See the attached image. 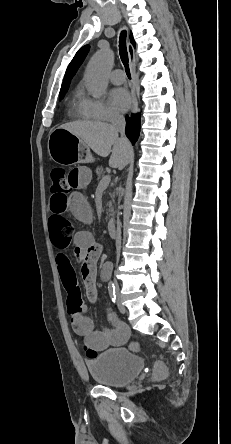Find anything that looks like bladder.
Returning a JSON list of instances; mask_svg holds the SVG:
<instances>
[{
    "mask_svg": "<svg viewBox=\"0 0 231 444\" xmlns=\"http://www.w3.org/2000/svg\"><path fill=\"white\" fill-rule=\"evenodd\" d=\"M86 367L90 375L101 385L122 387L137 377L144 364L136 353L121 347L89 358Z\"/></svg>",
    "mask_w": 231,
    "mask_h": 444,
    "instance_id": "1",
    "label": "bladder"
}]
</instances>
